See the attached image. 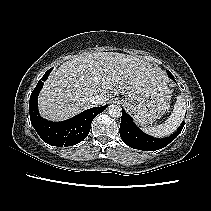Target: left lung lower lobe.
I'll use <instances>...</instances> for the list:
<instances>
[{"instance_id":"1","label":"left lung lower lobe","mask_w":211,"mask_h":211,"mask_svg":"<svg viewBox=\"0 0 211 211\" xmlns=\"http://www.w3.org/2000/svg\"><path fill=\"white\" fill-rule=\"evenodd\" d=\"M174 80L173 75L170 77ZM122 117L120 124V136L123 142L134 149L143 150V151H155L159 150L171 141H173L182 131L184 123L173 135L166 138H154L144 132H142L133 122L131 116H129L124 109H122Z\"/></svg>"}]
</instances>
